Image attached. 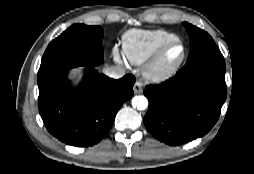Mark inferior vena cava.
<instances>
[{
	"label": "inferior vena cava",
	"mask_w": 254,
	"mask_h": 174,
	"mask_svg": "<svg viewBox=\"0 0 254 174\" xmlns=\"http://www.w3.org/2000/svg\"><path fill=\"white\" fill-rule=\"evenodd\" d=\"M105 73L113 79L121 78L125 73V68L122 66H112L105 69Z\"/></svg>",
	"instance_id": "obj_1"
}]
</instances>
